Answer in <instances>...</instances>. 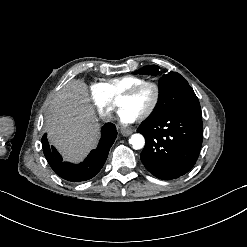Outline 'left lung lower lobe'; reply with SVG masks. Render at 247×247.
I'll return each instance as SVG.
<instances>
[{"mask_svg": "<svg viewBox=\"0 0 247 247\" xmlns=\"http://www.w3.org/2000/svg\"><path fill=\"white\" fill-rule=\"evenodd\" d=\"M146 140L140 159L157 178L181 177L196 163L202 145V117L192 111H175L137 129Z\"/></svg>", "mask_w": 247, "mask_h": 247, "instance_id": "left-lung-lower-lobe-1", "label": "left lung lower lobe"}]
</instances>
